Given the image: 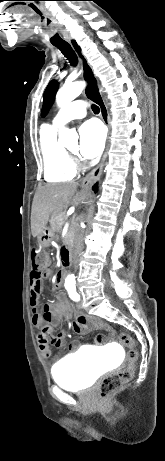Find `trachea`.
<instances>
[{
	"label": "trachea",
	"mask_w": 165,
	"mask_h": 461,
	"mask_svg": "<svg viewBox=\"0 0 165 461\" xmlns=\"http://www.w3.org/2000/svg\"><path fill=\"white\" fill-rule=\"evenodd\" d=\"M54 46L57 47L61 51V53L67 58V60H69L71 65L77 64V56L69 43L64 42V43L54 44ZM86 76L87 78L93 80V74L89 67H87ZM87 96L88 98L96 102L97 104L102 102L101 96L98 93L96 88H90L88 90ZM92 110L94 113H99V107L97 105H92Z\"/></svg>",
	"instance_id": "obj_1"
}]
</instances>
